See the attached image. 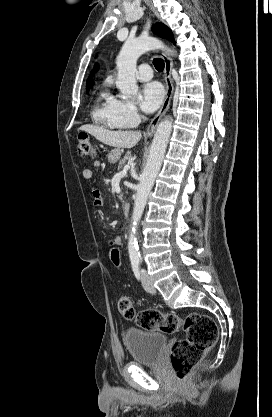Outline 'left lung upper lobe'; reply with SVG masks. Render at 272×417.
<instances>
[{
  "label": "left lung upper lobe",
  "mask_w": 272,
  "mask_h": 417,
  "mask_svg": "<svg viewBox=\"0 0 272 417\" xmlns=\"http://www.w3.org/2000/svg\"><path fill=\"white\" fill-rule=\"evenodd\" d=\"M153 32L162 38L168 39L170 41H174L171 30L168 27H166L164 24H161V23L156 24L153 27Z\"/></svg>",
  "instance_id": "5c2ea615"
}]
</instances>
